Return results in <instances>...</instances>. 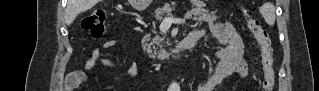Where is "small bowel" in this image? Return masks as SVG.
<instances>
[{"instance_id": "1", "label": "small bowel", "mask_w": 319, "mask_h": 91, "mask_svg": "<svg viewBox=\"0 0 319 91\" xmlns=\"http://www.w3.org/2000/svg\"><path fill=\"white\" fill-rule=\"evenodd\" d=\"M211 33L217 41L215 57L217 64L210 70L207 76L200 82L198 91H212L214 86L232 73L238 74L244 78L248 74L247 55L248 48L242 37L238 34L235 27L228 21L216 23L211 26ZM203 32L197 28L191 34L199 36ZM118 45V40L107 39L103 41V49H112ZM98 66L115 67L116 63L105 57L99 48H95L89 58L84 63L86 70H92ZM127 73L130 77L136 74V67L132 64L126 66ZM85 75L81 72L73 73L70 85L76 86L84 81Z\"/></svg>"}]
</instances>
